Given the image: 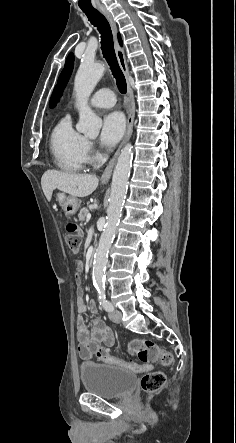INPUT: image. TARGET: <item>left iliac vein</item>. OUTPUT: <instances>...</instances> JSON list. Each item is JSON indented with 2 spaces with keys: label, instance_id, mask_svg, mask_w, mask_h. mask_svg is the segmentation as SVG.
<instances>
[{
  "label": "left iliac vein",
  "instance_id": "obj_1",
  "mask_svg": "<svg viewBox=\"0 0 236 443\" xmlns=\"http://www.w3.org/2000/svg\"><path fill=\"white\" fill-rule=\"evenodd\" d=\"M109 318L111 321H113L114 323L119 324L121 322L122 319V314L120 311L118 310H113L109 313Z\"/></svg>",
  "mask_w": 236,
  "mask_h": 443
}]
</instances>
